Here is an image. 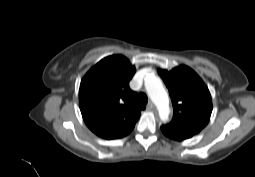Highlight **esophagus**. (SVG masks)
<instances>
[{
    "instance_id": "1",
    "label": "esophagus",
    "mask_w": 255,
    "mask_h": 177,
    "mask_svg": "<svg viewBox=\"0 0 255 177\" xmlns=\"http://www.w3.org/2000/svg\"><path fill=\"white\" fill-rule=\"evenodd\" d=\"M154 104H153V102H149L148 104H147V109H149V110H152V109H154Z\"/></svg>"
}]
</instances>
